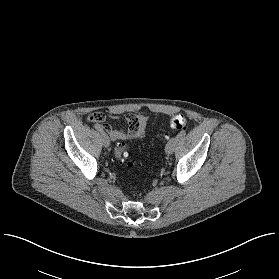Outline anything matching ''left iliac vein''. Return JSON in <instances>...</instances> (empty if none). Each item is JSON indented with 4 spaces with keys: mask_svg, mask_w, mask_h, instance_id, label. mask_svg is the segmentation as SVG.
<instances>
[{
    "mask_svg": "<svg viewBox=\"0 0 279 279\" xmlns=\"http://www.w3.org/2000/svg\"><path fill=\"white\" fill-rule=\"evenodd\" d=\"M177 140H178V138L175 137L167 143V145L165 147L166 154L171 155L174 152Z\"/></svg>",
    "mask_w": 279,
    "mask_h": 279,
    "instance_id": "left-iliac-vein-1",
    "label": "left iliac vein"
}]
</instances>
